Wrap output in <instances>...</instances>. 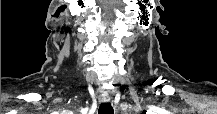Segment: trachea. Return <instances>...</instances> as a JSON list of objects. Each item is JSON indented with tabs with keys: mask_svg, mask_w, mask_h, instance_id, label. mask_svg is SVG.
Wrapping results in <instances>:
<instances>
[{
	"mask_svg": "<svg viewBox=\"0 0 217 114\" xmlns=\"http://www.w3.org/2000/svg\"><path fill=\"white\" fill-rule=\"evenodd\" d=\"M99 114H113V108L110 103H102L98 109Z\"/></svg>",
	"mask_w": 217,
	"mask_h": 114,
	"instance_id": "obj_1",
	"label": "trachea"
}]
</instances>
